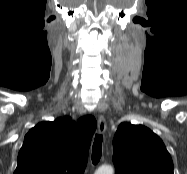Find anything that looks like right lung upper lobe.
<instances>
[{
  "mask_svg": "<svg viewBox=\"0 0 187 174\" xmlns=\"http://www.w3.org/2000/svg\"><path fill=\"white\" fill-rule=\"evenodd\" d=\"M96 120L91 126L68 116L41 122L25 136L14 174H83Z\"/></svg>",
  "mask_w": 187,
  "mask_h": 174,
  "instance_id": "right-lung-upper-lobe-1",
  "label": "right lung upper lobe"
}]
</instances>
